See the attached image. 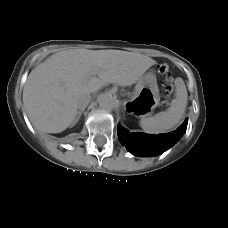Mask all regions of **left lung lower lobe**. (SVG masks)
<instances>
[{"instance_id":"obj_1","label":"left lung lower lobe","mask_w":228,"mask_h":228,"mask_svg":"<svg viewBox=\"0 0 228 228\" xmlns=\"http://www.w3.org/2000/svg\"><path fill=\"white\" fill-rule=\"evenodd\" d=\"M188 119L174 132L155 135L129 133L118 126L117 133L120 142L127 150L137 156H153L162 154L169 149L186 131Z\"/></svg>"}]
</instances>
